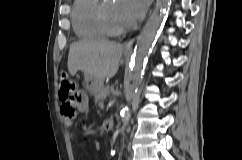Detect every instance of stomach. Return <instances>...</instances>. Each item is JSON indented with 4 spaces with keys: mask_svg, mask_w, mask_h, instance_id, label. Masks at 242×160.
Here are the masks:
<instances>
[{
    "mask_svg": "<svg viewBox=\"0 0 242 160\" xmlns=\"http://www.w3.org/2000/svg\"><path fill=\"white\" fill-rule=\"evenodd\" d=\"M84 82L91 95H96L103 87V81L92 76H85Z\"/></svg>",
    "mask_w": 242,
    "mask_h": 160,
    "instance_id": "0dacf381",
    "label": "stomach"
}]
</instances>
